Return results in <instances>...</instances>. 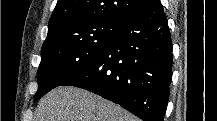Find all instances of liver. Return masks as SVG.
<instances>
[{"label":"liver","mask_w":217,"mask_h":121,"mask_svg":"<svg viewBox=\"0 0 217 121\" xmlns=\"http://www.w3.org/2000/svg\"><path fill=\"white\" fill-rule=\"evenodd\" d=\"M35 121H138L128 111L76 87H57L39 102Z\"/></svg>","instance_id":"1"}]
</instances>
